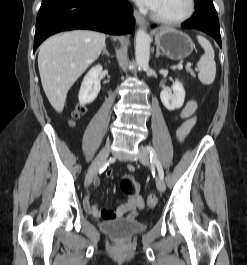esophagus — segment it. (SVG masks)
<instances>
[{
  "mask_svg": "<svg viewBox=\"0 0 247 265\" xmlns=\"http://www.w3.org/2000/svg\"><path fill=\"white\" fill-rule=\"evenodd\" d=\"M134 17H135V20H136L138 26H140L142 28H147L146 19L137 10L134 11Z\"/></svg>",
  "mask_w": 247,
  "mask_h": 265,
  "instance_id": "34e87169",
  "label": "esophagus"
}]
</instances>
